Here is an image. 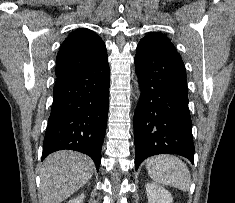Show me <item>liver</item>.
I'll return each instance as SVG.
<instances>
[{"instance_id": "liver-1", "label": "liver", "mask_w": 235, "mask_h": 203, "mask_svg": "<svg viewBox=\"0 0 235 203\" xmlns=\"http://www.w3.org/2000/svg\"><path fill=\"white\" fill-rule=\"evenodd\" d=\"M90 157L72 150L50 154L43 162L40 192L44 203H62L92 177Z\"/></svg>"}]
</instances>
